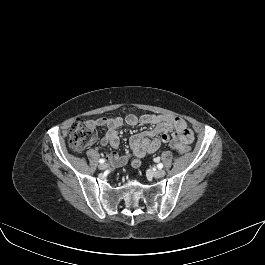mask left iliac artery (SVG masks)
Here are the masks:
<instances>
[{
    "label": "left iliac artery",
    "mask_w": 265,
    "mask_h": 265,
    "mask_svg": "<svg viewBox=\"0 0 265 265\" xmlns=\"http://www.w3.org/2000/svg\"><path fill=\"white\" fill-rule=\"evenodd\" d=\"M154 160H155V162H159V161H160V158L157 157V158H155ZM157 167H158V169H162V168H163V164H162V163H159V164L157 165Z\"/></svg>",
    "instance_id": "1"
}]
</instances>
